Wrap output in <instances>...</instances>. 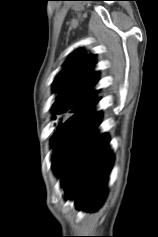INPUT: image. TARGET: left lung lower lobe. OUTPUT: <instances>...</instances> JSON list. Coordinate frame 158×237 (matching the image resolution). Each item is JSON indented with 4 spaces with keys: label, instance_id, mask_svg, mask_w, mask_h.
Segmentation results:
<instances>
[{
    "label": "left lung lower lobe",
    "instance_id": "obj_1",
    "mask_svg": "<svg viewBox=\"0 0 158 237\" xmlns=\"http://www.w3.org/2000/svg\"><path fill=\"white\" fill-rule=\"evenodd\" d=\"M97 99L78 110L59 126L52 141L56 146L53 167L61 175L66 198H74L79 208L96 209L101 205L113 158L108 138L99 135Z\"/></svg>",
    "mask_w": 158,
    "mask_h": 237
}]
</instances>
